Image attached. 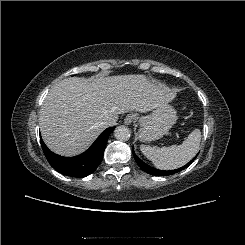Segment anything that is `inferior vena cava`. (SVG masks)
Returning <instances> with one entry per match:
<instances>
[{"mask_svg": "<svg viewBox=\"0 0 245 245\" xmlns=\"http://www.w3.org/2000/svg\"><path fill=\"white\" fill-rule=\"evenodd\" d=\"M116 121H117L116 118L111 117L108 120H106L103 124L105 127H110L116 125Z\"/></svg>", "mask_w": 245, "mask_h": 245, "instance_id": "1", "label": "inferior vena cava"}]
</instances>
